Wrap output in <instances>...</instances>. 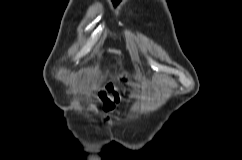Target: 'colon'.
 Listing matches in <instances>:
<instances>
[{
  "mask_svg": "<svg viewBox=\"0 0 242 160\" xmlns=\"http://www.w3.org/2000/svg\"><path fill=\"white\" fill-rule=\"evenodd\" d=\"M124 79H127V76H124ZM120 100L121 93L117 83H109L99 93L100 105L106 110H111L114 108L120 102Z\"/></svg>",
  "mask_w": 242,
  "mask_h": 160,
  "instance_id": "1",
  "label": "colon"
}]
</instances>
